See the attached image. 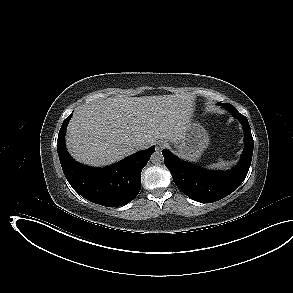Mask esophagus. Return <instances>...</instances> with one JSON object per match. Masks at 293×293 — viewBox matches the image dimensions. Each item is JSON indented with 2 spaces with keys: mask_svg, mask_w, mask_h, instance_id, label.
Listing matches in <instances>:
<instances>
[{
  "mask_svg": "<svg viewBox=\"0 0 293 293\" xmlns=\"http://www.w3.org/2000/svg\"><path fill=\"white\" fill-rule=\"evenodd\" d=\"M168 147H169V144L167 142L161 141L157 143L156 150L159 151Z\"/></svg>",
  "mask_w": 293,
  "mask_h": 293,
  "instance_id": "esophagus-1",
  "label": "esophagus"
}]
</instances>
